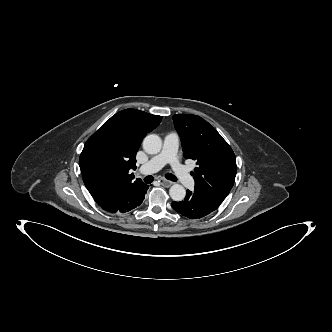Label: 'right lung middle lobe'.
<instances>
[{
	"label": "right lung middle lobe",
	"instance_id": "dd1d6c3e",
	"mask_svg": "<svg viewBox=\"0 0 332 332\" xmlns=\"http://www.w3.org/2000/svg\"><path fill=\"white\" fill-rule=\"evenodd\" d=\"M110 151V144L106 139H102L95 149L96 157H103Z\"/></svg>",
	"mask_w": 332,
	"mask_h": 332
}]
</instances>
